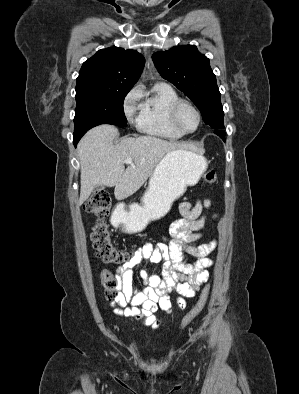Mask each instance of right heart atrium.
Returning a JSON list of instances; mask_svg holds the SVG:
<instances>
[{
	"instance_id": "right-heart-atrium-1",
	"label": "right heart atrium",
	"mask_w": 299,
	"mask_h": 394,
	"mask_svg": "<svg viewBox=\"0 0 299 394\" xmlns=\"http://www.w3.org/2000/svg\"><path fill=\"white\" fill-rule=\"evenodd\" d=\"M142 98L141 86H135L126 96L124 101V111L130 122L133 121L134 116L139 112Z\"/></svg>"
}]
</instances>
